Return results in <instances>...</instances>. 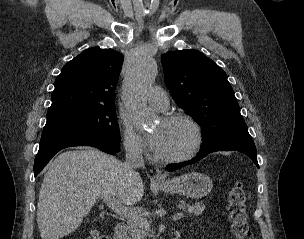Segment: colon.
I'll use <instances>...</instances> for the list:
<instances>
[{"label":"colon","instance_id":"1","mask_svg":"<svg viewBox=\"0 0 304 239\" xmlns=\"http://www.w3.org/2000/svg\"><path fill=\"white\" fill-rule=\"evenodd\" d=\"M230 228L235 239H254L248 222L247 193L241 180L235 181L227 197ZM83 239H107L94 233Z\"/></svg>","mask_w":304,"mask_h":239}]
</instances>
